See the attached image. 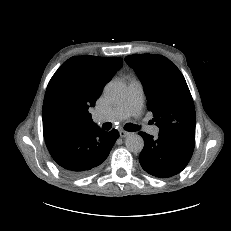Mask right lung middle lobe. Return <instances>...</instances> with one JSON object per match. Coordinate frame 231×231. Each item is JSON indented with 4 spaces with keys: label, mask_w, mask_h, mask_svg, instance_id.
I'll use <instances>...</instances> for the list:
<instances>
[{
    "label": "right lung middle lobe",
    "mask_w": 231,
    "mask_h": 231,
    "mask_svg": "<svg viewBox=\"0 0 231 231\" xmlns=\"http://www.w3.org/2000/svg\"><path fill=\"white\" fill-rule=\"evenodd\" d=\"M43 112L50 133L57 134L64 131L71 116V110L64 100L60 97L49 98L43 105Z\"/></svg>",
    "instance_id": "obj_1"
}]
</instances>
